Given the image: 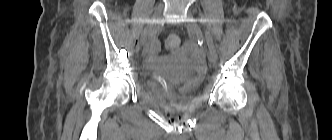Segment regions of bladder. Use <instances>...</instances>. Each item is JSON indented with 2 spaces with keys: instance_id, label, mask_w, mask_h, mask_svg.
<instances>
[{
  "instance_id": "obj_1",
  "label": "bladder",
  "mask_w": 332,
  "mask_h": 140,
  "mask_svg": "<svg viewBox=\"0 0 332 140\" xmlns=\"http://www.w3.org/2000/svg\"><path fill=\"white\" fill-rule=\"evenodd\" d=\"M201 84V78H191L186 80L176 92L164 91L153 86L152 93L160 107L170 111H179L183 110L191 101Z\"/></svg>"
}]
</instances>
